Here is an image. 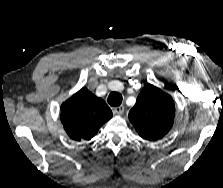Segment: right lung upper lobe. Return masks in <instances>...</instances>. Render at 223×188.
<instances>
[{"instance_id": "obj_1", "label": "right lung upper lobe", "mask_w": 223, "mask_h": 188, "mask_svg": "<svg viewBox=\"0 0 223 188\" xmlns=\"http://www.w3.org/2000/svg\"><path fill=\"white\" fill-rule=\"evenodd\" d=\"M112 117V111L101 98L83 87L61 106V121L75 141L90 140Z\"/></svg>"}]
</instances>
